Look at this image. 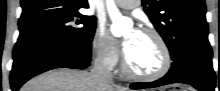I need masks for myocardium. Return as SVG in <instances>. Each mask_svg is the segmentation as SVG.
<instances>
[{
  "mask_svg": "<svg viewBox=\"0 0 220 91\" xmlns=\"http://www.w3.org/2000/svg\"><path fill=\"white\" fill-rule=\"evenodd\" d=\"M140 32L145 33L147 35L152 36L157 45L160 48L161 51V55H162V64L160 66V68L155 71L154 73H149V74H142V73H137L135 71H133L127 61L125 52L122 55V69L123 72L126 76L135 79V80H140V81H154V80H158L160 78H162L163 76H165L172 65V58H171V53L169 50V47L165 41V39L163 38V36L155 29L153 28H149V27H145L142 28L140 30Z\"/></svg>",
  "mask_w": 220,
  "mask_h": 91,
  "instance_id": "obj_1",
  "label": "myocardium"
}]
</instances>
